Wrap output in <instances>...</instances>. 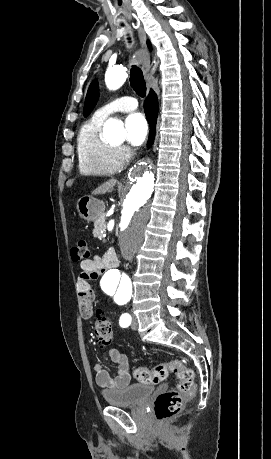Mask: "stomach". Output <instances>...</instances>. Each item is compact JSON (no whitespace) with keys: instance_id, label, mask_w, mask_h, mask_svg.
Listing matches in <instances>:
<instances>
[{"instance_id":"1","label":"stomach","mask_w":271,"mask_h":459,"mask_svg":"<svg viewBox=\"0 0 271 459\" xmlns=\"http://www.w3.org/2000/svg\"><path fill=\"white\" fill-rule=\"evenodd\" d=\"M77 210L79 216L87 222H96L104 214L105 206L100 200L92 198V196H83L77 202Z\"/></svg>"}]
</instances>
